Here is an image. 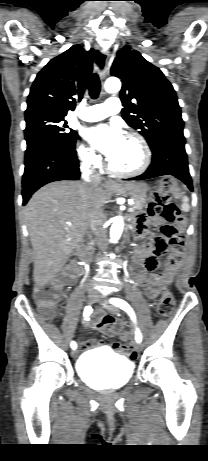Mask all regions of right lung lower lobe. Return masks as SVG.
<instances>
[{
	"label": "right lung lower lobe",
	"instance_id": "1",
	"mask_svg": "<svg viewBox=\"0 0 208 461\" xmlns=\"http://www.w3.org/2000/svg\"><path fill=\"white\" fill-rule=\"evenodd\" d=\"M79 177L75 149L52 142L42 143L25 154L23 205L43 185L59 180H77Z\"/></svg>",
	"mask_w": 208,
	"mask_h": 461
}]
</instances>
